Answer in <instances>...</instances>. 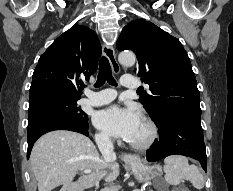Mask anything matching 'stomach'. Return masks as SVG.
<instances>
[{"instance_id": "1", "label": "stomach", "mask_w": 233, "mask_h": 191, "mask_svg": "<svg viewBox=\"0 0 233 191\" xmlns=\"http://www.w3.org/2000/svg\"><path fill=\"white\" fill-rule=\"evenodd\" d=\"M132 173L139 182H147L162 175V169L159 165H147L139 160L130 163Z\"/></svg>"}]
</instances>
